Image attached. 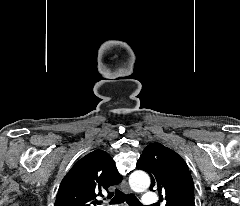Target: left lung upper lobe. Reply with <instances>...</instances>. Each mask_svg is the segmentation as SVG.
I'll list each match as a JSON object with an SVG mask.
<instances>
[{"instance_id": "5c2ea615", "label": "left lung upper lobe", "mask_w": 240, "mask_h": 206, "mask_svg": "<svg viewBox=\"0 0 240 206\" xmlns=\"http://www.w3.org/2000/svg\"><path fill=\"white\" fill-rule=\"evenodd\" d=\"M151 176V189H157L166 206H195L194 184L188 166L173 150L159 143L149 144L136 165Z\"/></svg>"}]
</instances>
